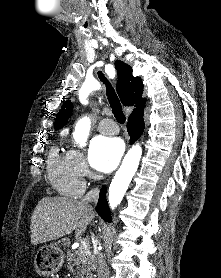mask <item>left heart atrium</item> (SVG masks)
I'll use <instances>...</instances> for the list:
<instances>
[{"label":"left heart atrium","mask_w":221,"mask_h":278,"mask_svg":"<svg viewBox=\"0 0 221 278\" xmlns=\"http://www.w3.org/2000/svg\"><path fill=\"white\" fill-rule=\"evenodd\" d=\"M123 154V143L119 138L95 137L90 145L89 160L98 172L109 173L118 165Z\"/></svg>","instance_id":"obj_1"}]
</instances>
